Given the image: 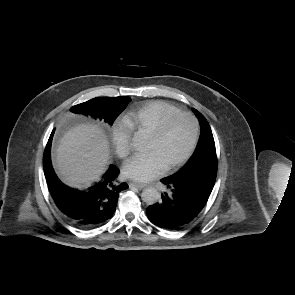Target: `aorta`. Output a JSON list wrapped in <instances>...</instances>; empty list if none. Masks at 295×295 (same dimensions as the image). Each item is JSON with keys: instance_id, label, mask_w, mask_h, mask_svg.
<instances>
[{"instance_id": "aorta-1", "label": "aorta", "mask_w": 295, "mask_h": 295, "mask_svg": "<svg viewBox=\"0 0 295 295\" xmlns=\"http://www.w3.org/2000/svg\"><path fill=\"white\" fill-rule=\"evenodd\" d=\"M138 144L139 140L135 139V145L137 146ZM141 198L146 204L153 205L158 202L160 193L155 188H145L141 193Z\"/></svg>"}]
</instances>
